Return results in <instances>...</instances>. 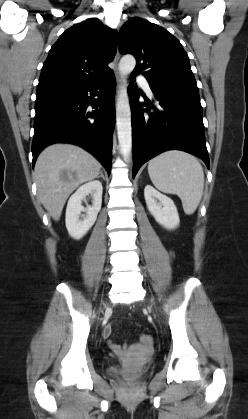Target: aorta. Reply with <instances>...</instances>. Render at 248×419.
<instances>
[{
    "label": "aorta",
    "mask_w": 248,
    "mask_h": 419,
    "mask_svg": "<svg viewBox=\"0 0 248 419\" xmlns=\"http://www.w3.org/2000/svg\"><path fill=\"white\" fill-rule=\"evenodd\" d=\"M136 60L132 55H125L119 62V72L123 78L135 68ZM116 126L118 142L124 160H129L132 149L131 109L127 88L122 85L116 103Z\"/></svg>",
    "instance_id": "762f6f07"
}]
</instances>
